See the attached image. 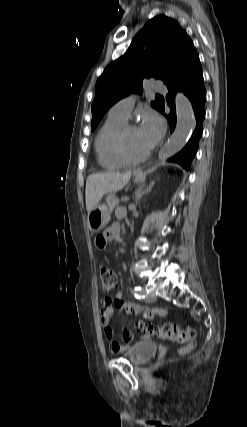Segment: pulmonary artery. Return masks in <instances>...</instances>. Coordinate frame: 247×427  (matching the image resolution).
<instances>
[{
  "label": "pulmonary artery",
  "instance_id": "e3ab8cb5",
  "mask_svg": "<svg viewBox=\"0 0 247 427\" xmlns=\"http://www.w3.org/2000/svg\"><path fill=\"white\" fill-rule=\"evenodd\" d=\"M151 88L154 91H166L165 86L160 83H152ZM134 102L135 97L132 95L119 100L111 107V109L109 110V115L126 121L134 106Z\"/></svg>",
  "mask_w": 247,
  "mask_h": 427
}]
</instances>
